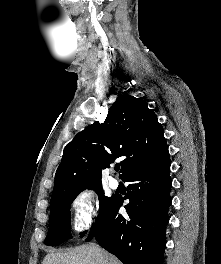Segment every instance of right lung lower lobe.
Here are the masks:
<instances>
[{"instance_id":"1","label":"right lung lower lobe","mask_w":221,"mask_h":264,"mask_svg":"<svg viewBox=\"0 0 221 264\" xmlns=\"http://www.w3.org/2000/svg\"><path fill=\"white\" fill-rule=\"evenodd\" d=\"M170 157L128 173L127 195L116 197L85 241L93 238L124 264H162L171 204ZM125 199L127 215L118 213Z\"/></svg>"}]
</instances>
